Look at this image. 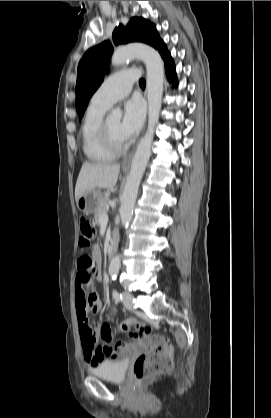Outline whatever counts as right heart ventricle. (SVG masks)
<instances>
[{"instance_id":"obj_1","label":"right heart ventricle","mask_w":271,"mask_h":418,"mask_svg":"<svg viewBox=\"0 0 271 418\" xmlns=\"http://www.w3.org/2000/svg\"><path fill=\"white\" fill-rule=\"evenodd\" d=\"M108 107L90 103L82 126V148L85 156L92 162L102 163L114 159L115 154L107 150L101 143L99 130Z\"/></svg>"}]
</instances>
